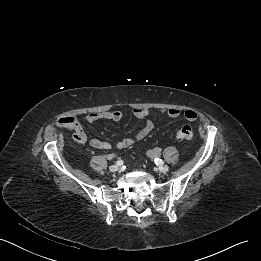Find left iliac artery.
<instances>
[{"instance_id": "1", "label": "left iliac artery", "mask_w": 261, "mask_h": 261, "mask_svg": "<svg viewBox=\"0 0 261 261\" xmlns=\"http://www.w3.org/2000/svg\"><path fill=\"white\" fill-rule=\"evenodd\" d=\"M155 163L159 166H162L164 164L163 160L162 159H159V158H155Z\"/></svg>"}]
</instances>
